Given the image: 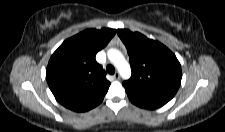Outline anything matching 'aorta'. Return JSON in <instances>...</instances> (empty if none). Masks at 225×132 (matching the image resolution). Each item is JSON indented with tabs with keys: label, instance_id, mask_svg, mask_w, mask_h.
<instances>
[{
	"label": "aorta",
	"instance_id": "1",
	"mask_svg": "<svg viewBox=\"0 0 225 132\" xmlns=\"http://www.w3.org/2000/svg\"><path fill=\"white\" fill-rule=\"evenodd\" d=\"M107 56L111 63L117 68L120 76L123 79H129L131 76V68L123 54L119 50L112 48L107 51Z\"/></svg>",
	"mask_w": 225,
	"mask_h": 132
}]
</instances>
